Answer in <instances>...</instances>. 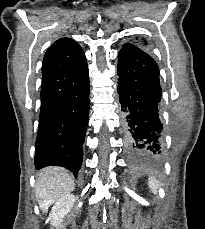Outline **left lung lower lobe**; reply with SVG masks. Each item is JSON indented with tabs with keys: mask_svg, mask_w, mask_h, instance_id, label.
<instances>
[{
	"mask_svg": "<svg viewBox=\"0 0 205 229\" xmlns=\"http://www.w3.org/2000/svg\"><path fill=\"white\" fill-rule=\"evenodd\" d=\"M118 59L117 92L125 145L136 157L160 161L164 131L159 68L147 50L132 43L123 45Z\"/></svg>",
	"mask_w": 205,
	"mask_h": 229,
	"instance_id": "obj_1",
	"label": "left lung lower lobe"
}]
</instances>
